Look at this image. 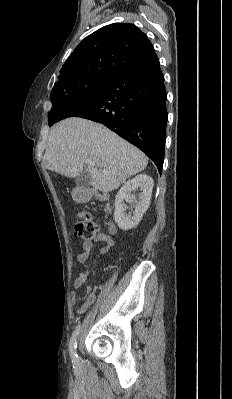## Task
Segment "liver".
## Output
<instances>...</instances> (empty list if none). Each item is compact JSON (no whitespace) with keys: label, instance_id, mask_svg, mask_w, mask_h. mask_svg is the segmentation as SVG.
I'll list each match as a JSON object with an SVG mask.
<instances>
[{"label":"liver","instance_id":"liver-1","mask_svg":"<svg viewBox=\"0 0 232 399\" xmlns=\"http://www.w3.org/2000/svg\"><path fill=\"white\" fill-rule=\"evenodd\" d=\"M43 160L47 170L67 178L80 176L87 164L91 186L107 194L143 172L149 158L102 124L67 118L53 126Z\"/></svg>","mask_w":232,"mask_h":399}]
</instances>
